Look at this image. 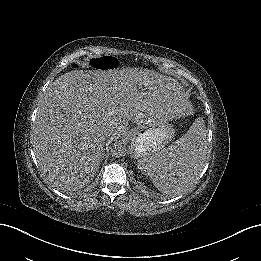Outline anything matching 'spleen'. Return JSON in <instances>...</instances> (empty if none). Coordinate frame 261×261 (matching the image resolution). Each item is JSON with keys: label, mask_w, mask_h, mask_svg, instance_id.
I'll return each instance as SVG.
<instances>
[{"label": "spleen", "mask_w": 261, "mask_h": 261, "mask_svg": "<svg viewBox=\"0 0 261 261\" xmlns=\"http://www.w3.org/2000/svg\"><path fill=\"white\" fill-rule=\"evenodd\" d=\"M200 134L190 130L175 145L138 160V167L148 175L158 190L170 194L180 191L188 176L201 167Z\"/></svg>", "instance_id": "obj_1"}]
</instances>
